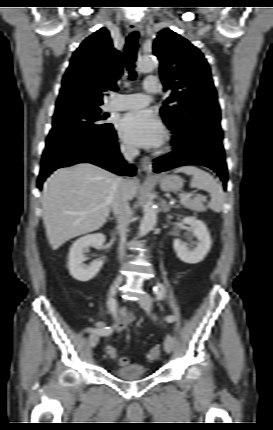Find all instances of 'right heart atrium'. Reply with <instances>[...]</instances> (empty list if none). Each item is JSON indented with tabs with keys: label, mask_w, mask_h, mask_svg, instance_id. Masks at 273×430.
I'll list each match as a JSON object with an SVG mask.
<instances>
[{
	"label": "right heart atrium",
	"mask_w": 273,
	"mask_h": 430,
	"mask_svg": "<svg viewBox=\"0 0 273 430\" xmlns=\"http://www.w3.org/2000/svg\"><path fill=\"white\" fill-rule=\"evenodd\" d=\"M121 149L126 154H132L134 152V149L130 145L125 143L121 144Z\"/></svg>",
	"instance_id": "right-heart-atrium-1"
}]
</instances>
